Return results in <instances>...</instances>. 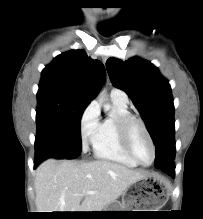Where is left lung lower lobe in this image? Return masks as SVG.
I'll return each mask as SVG.
<instances>
[{
    "mask_svg": "<svg viewBox=\"0 0 203 219\" xmlns=\"http://www.w3.org/2000/svg\"><path fill=\"white\" fill-rule=\"evenodd\" d=\"M166 172L168 175L171 177H175V164H174V159H167L165 160L162 164H159L156 166Z\"/></svg>",
    "mask_w": 203,
    "mask_h": 219,
    "instance_id": "left-lung-lower-lobe-1",
    "label": "left lung lower lobe"
}]
</instances>
